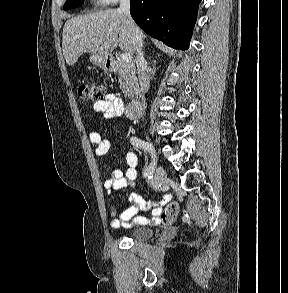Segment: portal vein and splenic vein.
<instances>
[{"label": "portal vein and splenic vein", "mask_w": 288, "mask_h": 293, "mask_svg": "<svg viewBox=\"0 0 288 293\" xmlns=\"http://www.w3.org/2000/svg\"><path fill=\"white\" fill-rule=\"evenodd\" d=\"M120 59L123 62L130 63L132 61V55L129 53H122Z\"/></svg>", "instance_id": "18ae733b"}]
</instances>
